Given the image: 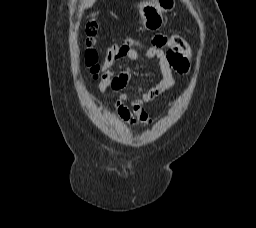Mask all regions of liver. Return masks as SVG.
<instances>
[{
  "label": "liver",
  "instance_id": "obj_1",
  "mask_svg": "<svg viewBox=\"0 0 256 228\" xmlns=\"http://www.w3.org/2000/svg\"><path fill=\"white\" fill-rule=\"evenodd\" d=\"M96 2V0H83V5H82V9H86V8H90L93 6V4ZM150 4V2L148 1H143L141 2L138 7L141 9L144 6Z\"/></svg>",
  "mask_w": 256,
  "mask_h": 228
}]
</instances>
